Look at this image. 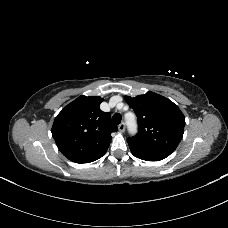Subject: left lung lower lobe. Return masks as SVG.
<instances>
[{"label": "left lung lower lobe", "mask_w": 228, "mask_h": 228, "mask_svg": "<svg viewBox=\"0 0 228 228\" xmlns=\"http://www.w3.org/2000/svg\"><path fill=\"white\" fill-rule=\"evenodd\" d=\"M129 147L132 154L135 157L146 161H159V160L165 159L170 155L168 153L161 152V151L143 150V149L134 148L132 146H129Z\"/></svg>", "instance_id": "obj_1"}]
</instances>
